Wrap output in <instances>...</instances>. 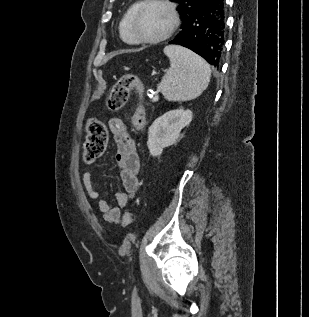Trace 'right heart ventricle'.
I'll return each instance as SVG.
<instances>
[{
  "instance_id": "1",
  "label": "right heart ventricle",
  "mask_w": 309,
  "mask_h": 317,
  "mask_svg": "<svg viewBox=\"0 0 309 317\" xmlns=\"http://www.w3.org/2000/svg\"><path fill=\"white\" fill-rule=\"evenodd\" d=\"M139 2H136L134 4H132L129 9L126 11V13L124 14L123 18L121 19L120 22V35L121 38L129 44H136L137 40L135 39L133 33H132V29H131V20H132V16L137 8V6L139 5Z\"/></svg>"
}]
</instances>
